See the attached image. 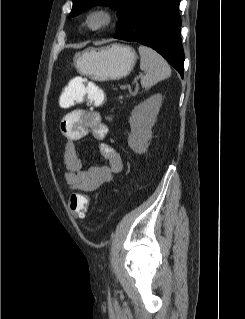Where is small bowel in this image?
I'll list each match as a JSON object with an SVG mask.
<instances>
[{
  "label": "small bowel",
  "mask_w": 245,
  "mask_h": 319,
  "mask_svg": "<svg viewBox=\"0 0 245 319\" xmlns=\"http://www.w3.org/2000/svg\"><path fill=\"white\" fill-rule=\"evenodd\" d=\"M83 83L81 77L72 78L60 96V105H70L75 100ZM64 137L63 159L67 171L65 178L69 190L93 192L105 183L110 182L114 175L123 169L122 160L115 149L104 142L99 145V151L106 160L103 166L83 168V162L75 146V142L91 135L98 141L106 138L108 128L101 114L92 107L76 108L66 113L60 123Z\"/></svg>",
  "instance_id": "1"
}]
</instances>
